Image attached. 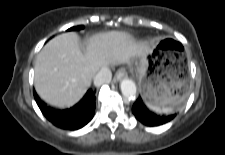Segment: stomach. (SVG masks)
Here are the masks:
<instances>
[{"instance_id": "1", "label": "stomach", "mask_w": 225, "mask_h": 155, "mask_svg": "<svg viewBox=\"0 0 225 155\" xmlns=\"http://www.w3.org/2000/svg\"><path fill=\"white\" fill-rule=\"evenodd\" d=\"M139 87L144 100L154 106L167 107L181 103L187 97L188 79L180 67L167 65L157 56V49L141 59L137 69Z\"/></svg>"}]
</instances>
